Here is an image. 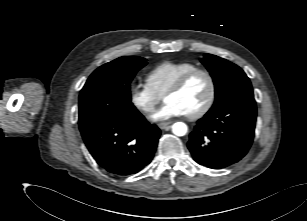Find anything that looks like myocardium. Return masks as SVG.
<instances>
[{
    "instance_id": "myocardium-1",
    "label": "myocardium",
    "mask_w": 307,
    "mask_h": 221,
    "mask_svg": "<svg viewBox=\"0 0 307 221\" xmlns=\"http://www.w3.org/2000/svg\"><path fill=\"white\" fill-rule=\"evenodd\" d=\"M198 74H202L208 79L210 91L207 101L198 111H196L195 113L186 114L187 118L190 120H197L202 118L211 110L214 105L217 94V84L215 76L211 71L204 68H196L191 71H188L180 78H178L164 95V98L166 99L168 95L180 92L187 85V83Z\"/></svg>"
}]
</instances>
